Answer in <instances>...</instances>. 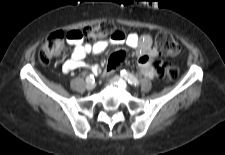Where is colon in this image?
<instances>
[{"mask_svg":"<svg viewBox=\"0 0 225 155\" xmlns=\"http://www.w3.org/2000/svg\"><path fill=\"white\" fill-rule=\"evenodd\" d=\"M80 31L82 33V40H86L88 42L100 40L108 35L112 36L118 32H124L120 29H116L109 21H102L97 24L87 26ZM67 33L68 32L65 33L61 30L54 31L45 39L38 53L39 61L42 64H49L54 57L63 51L65 41H68ZM154 42L163 55L175 57L180 53L179 44L175 41L172 35L167 32L156 33L154 36ZM124 59L125 56L122 52L119 50H112L110 52V60L106 64L107 69L111 72L116 71L119 64L122 63ZM152 68L158 73L159 77L167 81H174L179 76V70L177 67L165 63L161 59L154 60Z\"/></svg>","mask_w":225,"mask_h":155,"instance_id":"obj_1","label":"colon"}]
</instances>
